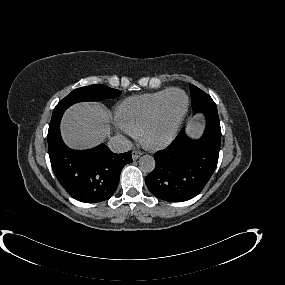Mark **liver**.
Listing matches in <instances>:
<instances>
[{
    "label": "liver",
    "instance_id": "obj_1",
    "mask_svg": "<svg viewBox=\"0 0 285 285\" xmlns=\"http://www.w3.org/2000/svg\"><path fill=\"white\" fill-rule=\"evenodd\" d=\"M111 112L100 103H79L70 107L61 122L65 143L75 149L91 148L110 135ZM193 133L198 125L191 126Z\"/></svg>",
    "mask_w": 285,
    "mask_h": 285
}]
</instances>
